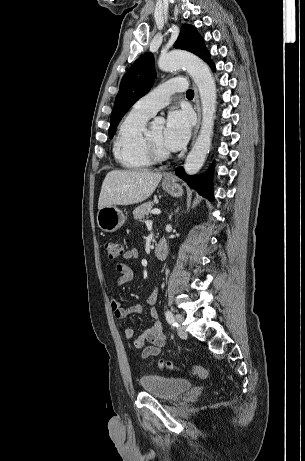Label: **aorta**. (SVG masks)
Segmentation results:
<instances>
[{
  "instance_id": "obj_1",
  "label": "aorta",
  "mask_w": 305,
  "mask_h": 461,
  "mask_svg": "<svg viewBox=\"0 0 305 461\" xmlns=\"http://www.w3.org/2000/svg\"><path fill=\"white\" fill-rule=\"evenodd\" d=\"M158 66L163 71L185 68L198 87L202 105V124L195 144L184 164L187 174H196L203 166L211 145L217 98L214 78L204 61L195 55L182 51L161 55ZM163 123V118L154 119L156 125Z\"/></svg>"
}]
</instances>
